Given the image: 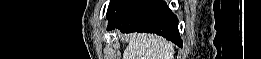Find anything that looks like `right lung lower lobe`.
I'll return each instance as SVG.
<instances>
[{
    "mask_svg": "<svg viewBox=\"0 0 261 59\" xmlns=\"http://www.w3.org/2000/svg\"><path fill=\"white\" fill-rule=\"evenodd\" d=\"M108 30L119 29L122 33H156L182 46L178 31V19L162 0H124L107 14Z\"/></svg>",
    "mask_w": 261,
    "mask_h": 59,
    "instance_id": "1",
    "label": "right lung lower lobe"
}]
</instances>
